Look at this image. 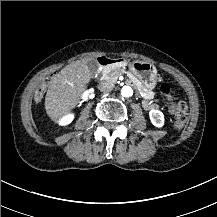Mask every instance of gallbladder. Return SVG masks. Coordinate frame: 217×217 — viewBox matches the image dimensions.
<instances>
[{"label": "gallbladder", "mask_w": 217, "mask_h": 217, "mask_svg": "<svg viewBox=\"0 0 217 217\" xmlns=\"http://www.w3.org/2000/svg\"><path fill=\"white\" fill-rule=\"evenodd\" d=\"M88 67L92 73V75H95L98 72V63L95 60H90L88 63Z\"/></svg>", "instance_id": "1"}]
</instances>
